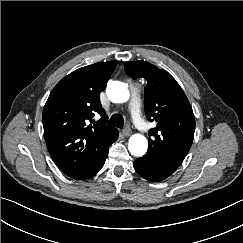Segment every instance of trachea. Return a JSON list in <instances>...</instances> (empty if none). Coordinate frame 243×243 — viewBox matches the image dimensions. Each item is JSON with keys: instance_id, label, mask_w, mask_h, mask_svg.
<instances>
[{"instance_id": "trachea-1", "label": "trachea", "mask_w": 243, "mask_h": 243, "mask_svg": "<svg viewBox=\"0 0 243 243\" xmlns=\"http://www.w3.org/2000/svg\"><path fill=\"white\" fill-rule=\"evenodd\" d=\"M107 125L123 128L124 118L120 114H114L110 120L107 122Z\"/></svg>"}]
</instances>
